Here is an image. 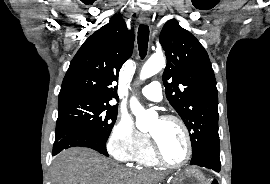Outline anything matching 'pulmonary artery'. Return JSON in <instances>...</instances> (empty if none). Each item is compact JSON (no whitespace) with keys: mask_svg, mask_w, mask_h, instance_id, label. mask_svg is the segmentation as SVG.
Listing matches in <instances>:
<instances>
[{"mask_svg":"<svg viewBox=\"0 0 270 184\" xmlns=\"http://www.w3.org/2000/svg\"><path fill=\"white\" fill-rule=\"evenodd\" d=\"M140 93L151 101L158 102L162 99V89L158 81H153L144 86L141 88Z\"/></svg>","mask_w":270,"mask_h":184,"instance_id":"1","label":"pulmonary artery"}]
</instances>
